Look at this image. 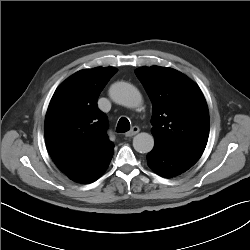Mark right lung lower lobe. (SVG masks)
<instances>
[{"label":"right lung lower lobe","instance_id":"98d812e1","mask_svg":"<svg viewBox=\"0 0 250 250\" xmlns=\"http://www.w3.org/2000/svg\"><path fill=\"white\" fill-rule=\"evenodd\" d=\"M114 149L108 152L103 158H101L98 162L94 163L90 167H88L86 170L82 171L79 174H76L72 177H70L71 180L86 184L91 183L97 180L107 169L112 156H113Z\"/></svg>","mask_w":250,"mask_h":250}]
</instances>
